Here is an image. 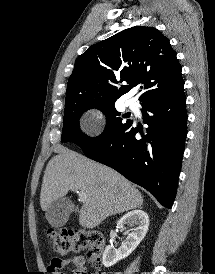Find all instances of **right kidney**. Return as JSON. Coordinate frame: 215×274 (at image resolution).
<instances>
[{
  "label": "right kidney",
  "mask_w": 215,
  "mask_h": 274,
  "mask_svg": "<svg viewBox=\"0 0 215 274\" xmlns=\"http://www.w3.org/2000/svg\"><path fill=\"white\" fill-rule=\"evenodd\" d=\"M124 225L133 227L131 233L128 234L126 241L119 249L108 245L103 253V264L105 267H111L118 261L128 257L144 239L149 226V216L142 210H133L121 217L117 222L118 228Z\"/></svg>",
  "instance_id": "ca27d5eb"
}]
</instances>
